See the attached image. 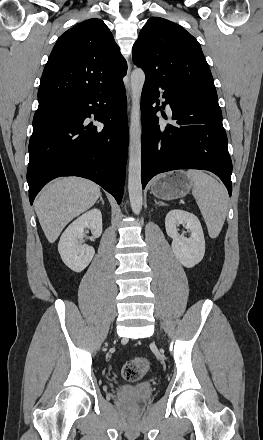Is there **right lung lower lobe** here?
<instances>
[{
  "instance_id": "obj_1",
  "label": "right lung lower lobe",
  "mask_w": 263,
  "mask_h": 440,
  "mask_svg": "<svg viewBox=\"0 0 263 440\" xmlns=\"http://www.w3.org/2000/svg\"><path fill=\"white\" fill-rule=\"evenodd\" d=\"M94 114L103 128L86 125ZM127 102L123 81L70 98L58 114L33 128L29 142V200L60 176L90 179L120 204L127 157Z\"/></svg>"
}]
</instances>
